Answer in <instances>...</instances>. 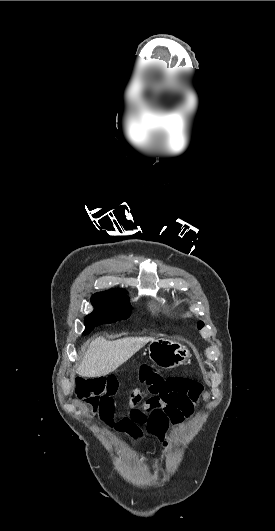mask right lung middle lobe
<instances>
[{
    "instance_id": "right-lung-middle-lobe-1",
    "label": "right lung middle lobe",
    "mask_w": 275,
    "mask_h": 531,
    "mask_svg": "<svg viewBox=\"0 0 275 531\" xmlns=\"http://www.w3.org/2000/svg\"><path fill=\"white\" fill-rule=\"evenodd\" d=\"M94 311L85 317V330L88 334L96 326L127 319L131 313V304L126 291L120 289L95 293L91 298Z\"/></svg>"
}]
</instances>
